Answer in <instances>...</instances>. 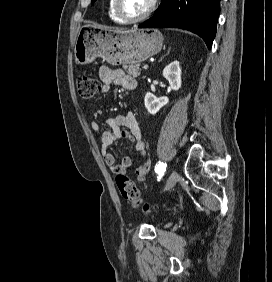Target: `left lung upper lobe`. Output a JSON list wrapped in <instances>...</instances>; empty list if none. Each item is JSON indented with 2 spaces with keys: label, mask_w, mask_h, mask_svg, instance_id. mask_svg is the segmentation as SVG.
I'll return each mask as SVG.
<instances>
[{
  "label": "left lung upper lobe",
  "mask_w": 272,
  "mask_h": 282,
  "mask_svg": "<svg viewBox=\"0 0 272 282\" xmlns=\"http://www.w3.org/2000/svg\"><path fill=\"white\" fill-rule=\"evenodd\" d=\"M96 0H91V2L93 3V2H95Z\"/></svg>",
  "instance_id": "obj_1"
}]
</instances>
